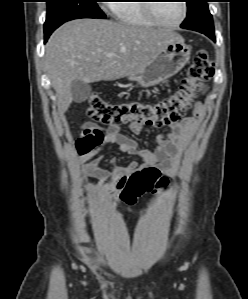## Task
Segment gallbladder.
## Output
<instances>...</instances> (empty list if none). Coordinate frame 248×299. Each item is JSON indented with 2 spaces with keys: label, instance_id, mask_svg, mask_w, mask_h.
<instances>
[{
  "label": "gallbladder",
  "instance_id": "bac80fb5",
  "mask_svg": "<svg viewBox=\"0 0 248 299\" xmlns=\"http://www.w3.org/2000/svg\"><path fill=\"white\" fill-rule=\"evenodd\" d=\"M71 93L75 103H82L90 95L91 87L81 80H74L71 84Z\"/></svg>",
  "mask_w": 248,
  "mask_h": 299
}]
</instances>
